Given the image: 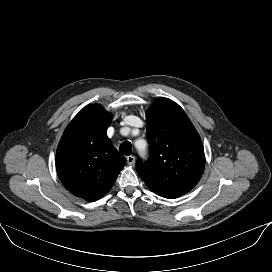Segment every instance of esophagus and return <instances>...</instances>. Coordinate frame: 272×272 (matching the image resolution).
<instances>
[{"mask_svg":"<svg viewBox=\"0 0 272 272\" xmlns=\"http://www.w3.org/2000/svg\"><path fill=\"white\" fill-rule=\"evenodd\" d=\"M126 160H127V164L130 166H133L135 164V157L132 155L128 156Z\"/></svg>","mask_w":272,"mask_h":272,"instance_id":"esophagus-1","label":"esophagus"}]
</instances>
